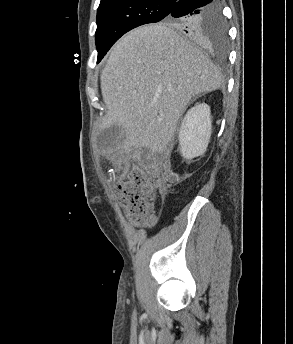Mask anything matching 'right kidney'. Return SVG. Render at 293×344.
<instances>
[{"instance_id": "right-kidney-1", "label": "right kidney", "mask_w": 293, "mask_h": 344, "mask_svg": "<svg viewBox=\"0 0 293 344\" xmlns=\"http://www.w3.org/2000/svg\"><path fill=\"white\" fill-rule=\"evenodd\" d=\"M211 111L205 104H196L189 109L179 130V146L185 159H192L205 153L211 136Z\"/></svg>"}]
</instances>
